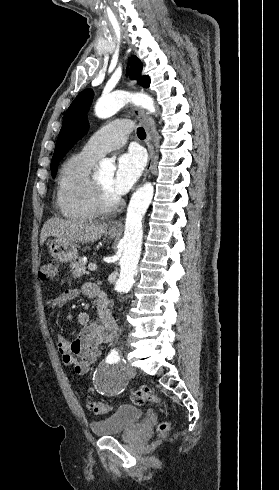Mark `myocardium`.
<instances>
[{
    "label": "myocardium",
    "instance_id": "1",
    "mask_svg": "<svg viewBox=\"0 0 279 490\" xmlns=\"http://www.w3.org/2000/svg\"><path fill=\"white\" fill-rule=\"evenodd\" d=\"M95 185V205L99 213L108 214L116 211L120 206V201L116 197H111L106 188L97 182Z\"/></svg>",
    "mask_w": 279,
    "mask_h": 490
}]
</instances>
